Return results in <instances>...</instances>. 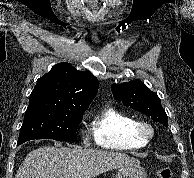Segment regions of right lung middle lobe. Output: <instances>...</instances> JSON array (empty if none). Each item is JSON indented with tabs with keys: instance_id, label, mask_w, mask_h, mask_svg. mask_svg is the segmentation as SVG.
<instances>
[{
	"instance_id": "obj_1",
	"label": "right lung middle lobe",
	"mask_w": 194,
	"mask_h": 178,
	"mask_svg": "<svg viewBox=\"0 0 194 178\" xmlns=\"http://www.w3.org/2000/svg\"><path fill=\"white\" fill-rule=\"evenodd\" d=\"M84 110H72L54 102L29 101L18 142L33 139L74 141Z\"/></svg>"
}]
</instances>
